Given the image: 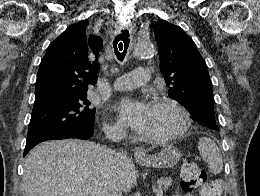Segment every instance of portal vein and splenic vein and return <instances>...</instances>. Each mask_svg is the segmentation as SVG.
I'll return each instance as SVG.
<instances>
[{"label":"portal vein and splenic vein","mask_w":260,"mask_h":196,"mask_svg":"<svg viewBox=\"0 0 260 196\" xmlns=\"http://www.w3.org/2000/svg\"><path fill=\"white\" fill-rule=\"evenodd\" d=\"M157 194L156 196H162V187H156Z\"/></svg>","instance_id":"1"}]
</instances>
